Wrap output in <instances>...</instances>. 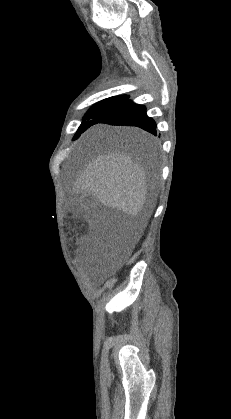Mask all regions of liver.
I'll use <instances>...</instances> for the list:
<instances>
[{
    "label": "liver",
    "mask_w": 231,
    "mask_h": 419,
    "mask_svg": "<svg viewBox=\"0 0 231 419\" xmlns=\"http://www.w3.org/2000/svg\"><path fill=\"white\" fill-rule=\"evenodd\" d=\"M117 134L135 142L152 144L153 138L138 128L122 127ZM75 190L95 197L101 204L129 215L139 214L147 196V176L142 165L129 153L112 150L94 158L75 183ZM152 209L146 214L142 228Z\"/></svg>",
    "instance_id": "6515ba94"
}]
</instances>
